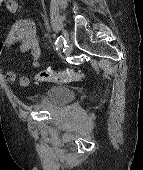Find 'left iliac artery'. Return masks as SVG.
<instances>
[{
    "mask_svg": "<svg viewBox=\"0 0 143 170\" xmlns=\"http://www.w3.org/2000/svg\"><path fill=\"white\" fill-rule=\"evenodd\" d=\"M63 43H64V45L66 43L64 37L63 36H59L57 38L56 42H55L56 50H58L62 46Z\"/></svg>",
    "mask_w": 143,
    "mask_h": 170,
    "instance_id": "1",
    "label": "left iliac artery"
}]
</instances>
